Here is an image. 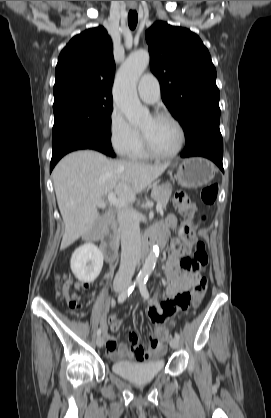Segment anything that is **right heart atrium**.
Here are the masks:
<instances>
[{
	"mask_svg": "<svg viewBox=\"0 0 271 418\" xmlns=\"http://www.w3.org/2000/svg\"><path fill=\"white\" fill-rule=\"evenodd\" d=\"M109 140L114 151L120 156H128L140 141V132L116 106L109 115Z\"/></svg>",
	"mask_w": 271,
	"mask_h": 418,
	"instance_id": "1",
	"label": "right heart atrium"
}]
</instances>
